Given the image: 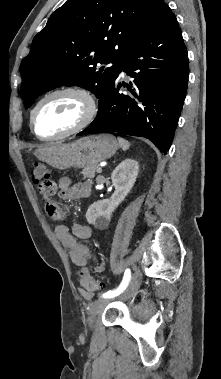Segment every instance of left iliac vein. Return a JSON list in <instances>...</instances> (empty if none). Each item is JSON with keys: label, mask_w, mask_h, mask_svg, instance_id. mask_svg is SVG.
Here are the masks:
<instances>
[{"label": "left iliac vein", "mask_w": 221, "mask_h": 379, "mask_svg": "<svg viewBox=\"0 0 221 379\" xmlns=\"http://www.w3.org/2000/svg\"><path fill=\"white\" fill-rule=\"evenodd\" d=\"M141 277L142 274L140 270H136V272L133 274L130 283L126 287V289L122 292V294L118 297L119 300H128L131 298L139 289L141 284ZM111 301L110 298H100L96 300L90 309V316L88 319L89 325L92 326L96 320V317L102 313V311L105 309L106 305Z\"/></svg>", "instance_id": "1"}]
</instances>
